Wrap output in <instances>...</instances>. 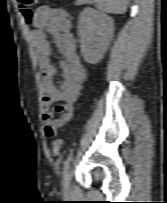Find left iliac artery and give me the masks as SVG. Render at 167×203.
<instances>
[{"mask_svg":"<svg viewBox=\"0 0 167 203\" xmlns=\"http://www.w3.org/2000/svg\"><path fill=\"white\" fill-rule=\"evenodd\" d=\"M73 159V154H71L67 160L64 162V165H63V176L66 175L68 169H69V166H70V162L72 161Z\"/></svg>","mask_w":167,"mask_h":203,"instance_id":"left-iliac-artery-1","label":"left iliac artery"}]
</instances>
